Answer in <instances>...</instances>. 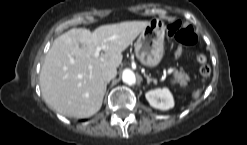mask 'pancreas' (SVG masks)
<instances>
[{"instance_id":"obj_1","label":"pancreas","mask_w":247,"mask_h":145,"mask_svg":"<svg viewBox=\"0 0 247 145\" xmlns=\"http://www.w3.org/2000/svg\"><path fill=\"white\" fill-rule=\"evenodd\" d=\"M174 76L181 83H185L189 79L188 75L185 74L183 71L175 70L174 71Z\"/></svg>"}]
</instances>
